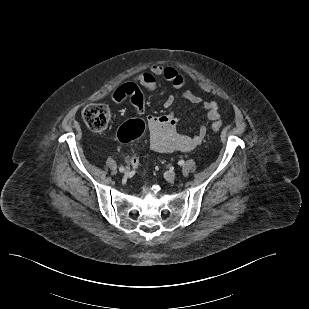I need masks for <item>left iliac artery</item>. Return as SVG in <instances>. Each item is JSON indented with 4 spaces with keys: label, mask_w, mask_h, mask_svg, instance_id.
<instances>
[{
    "label": "left iliac artery",
    "mask_w": 309,
    "mask_h": 309,
    "mask_svg": "<svg viewBox=\"0 0 309 309\" xmlns=\"http://www.w3.org/2000/svg\"><path fill=\"white\" fill-rule=\"evenodd\" d=\"M178 165L183 166V165H184V160H180V161L178 162Z\"/></svg>",
    "instance_id": "1"
}]
</instances>
